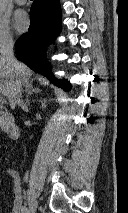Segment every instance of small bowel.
<instances>
[{"mask_svg": "<svg viewBox=\"0 0 128 213\" xmlns=\"http://www.w3.org/2000/svg\"><path fill=\"white\" fill-rule=\"evenodd\" d=\"M12 180V204L10 213H25L19 173L12 168L6 170Z\"/></svg>", "mask_w": 128, "mask_h": 213, "instance_id": "1", "label": "small bowel"}]
</instances>
